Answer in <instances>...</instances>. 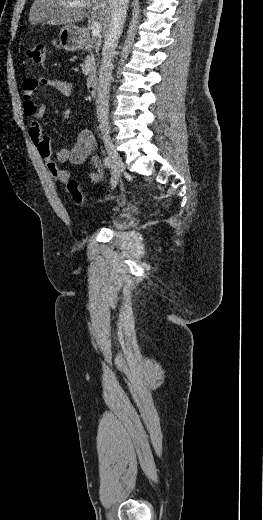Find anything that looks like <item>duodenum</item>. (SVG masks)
<instances>
[{"mask_svg":"<svg viewBox=\"0 0 263 520\" xmlns=\"http://www.w3.org/2000/svg\"><path fill=\"white\" fill-rule=\"evenodd\" d=\"M82 45L84 49H89L91 47L90 38L87 32L83 33L82 36ZM86 87L87 91L91 96H95L97 94L98 89V75L96 72H90L86 78Z\"/></svg>","mask_w":263,"mask_h":520,"instance_id":"410a0bca","label":"duodenum"}]
</instances>
